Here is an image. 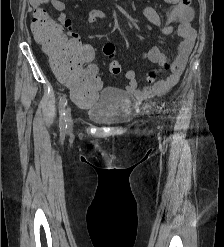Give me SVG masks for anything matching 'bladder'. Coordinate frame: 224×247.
<instances>
[{
  "mask_svg": "<svg viewBox=\"0 0 224 247\" xmlns=\"http://www.w3.org/2000/svg\"><path fill=\"white\" fill-rule=\"evenodd\" d=\"M86 115L97 124H120L130 117V101L122 90L105 87L96 101L87 108Z\"/></svg>",
  "mask_w": 224,
  "mask_h": 247,
  "instance_id": "31cf9c89",
  "label": "bladder"
}]
</instances>
